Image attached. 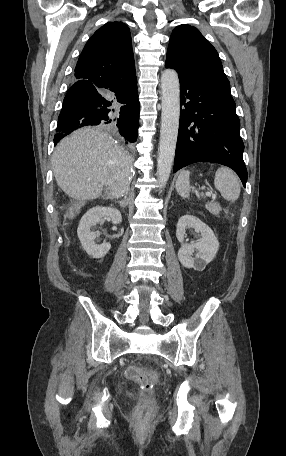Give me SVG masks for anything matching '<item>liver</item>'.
<instances>
[{"label":"liver","mask_w":286,"mask_h":456,"mask_svg":"<svg viewBox=\"0 0 286 456\" xmlns=\"http://www.w3.org/2000/svg\"><path fill=\"white\" fill-rule=\"evenodd\" d=\"M52 169L57 185L73 199H96L104 186L119 197L128 190L131 157L108 134L83 128L57 146Z\"/></svg>","instance_id":"1"}]
</instances>
